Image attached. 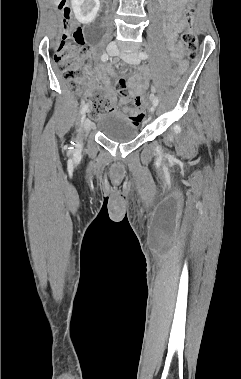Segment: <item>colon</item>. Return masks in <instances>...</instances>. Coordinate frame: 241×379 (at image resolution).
Listing matches in <instances>:
<instances>
[{
  "label": "colon",
  "instance_id": "1",
  "mask_svg": "<svg viewBox=\"0 0 241 379\" xmlns=\"http://www.w3.org/2000/svg\"><path fill=\"white\" fill-rule=\"evenodd\" d=\"M195 2L196 0H188L183 7V15L187 23H192L194 19ZM59 9L64 16L65 32L57 48L55 62L70 90L78 91L80 89V66L85 58V40L81 28L73 23L72 10L65 0L61 1ZM181 39L187 58L190 61H194L198 55V39L196 34L188 30L182 34ZM171 82L176 86L180 83L177 76H172ZM118 86L120 93H125L124 85L119 83ZM149 94L150 89L148 87H145L143 92L139 93L142 103L148 102L147 96ZM88 101L90 105L89 116L92 119H97L113 109L110 98L99 92L91 93L88 96Z\"/></svg>",
  "mask_w": 241,
  "mask_h": 379
}]
</instances>
